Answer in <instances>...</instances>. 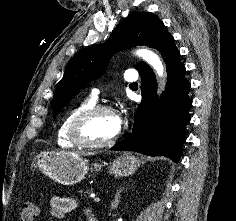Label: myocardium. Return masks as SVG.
Returning a JSON list of instances; mask_svg holds the SVG:
<instances>
[{
	"mask_svg": "<svg viewBox=\"0 0 236 221\" xmlns=\"http://www.w3.org/2000/svg\"><path fill=\"white\" fill-rule=\"evenodd\" d=\"M99 113H109L115 115L114 110L106 105H92L78 113L69 126V139L78 147L97 149L105 148L116 143L120 137V130L109 140L94 142L87 139L84 135V126L87 121Z\"/></svg>",
	"mask_w": 236,
	"mask_h": 221,
	"instance_id": "obj_1",
	"label": "myocardium"
}]
</instances>
